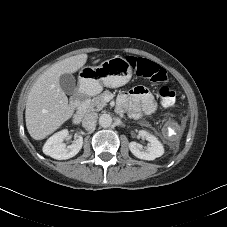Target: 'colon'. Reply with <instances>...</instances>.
Instances as JSON below:
<instances>
[{"mask_svg":"<svg viewBox=\"0 0 227 227\" xmlns=\"http://www.w3.org/2000/svg\"><path fill=\"white\" fill-rule=\"evenodd\" d=\"M135 72L138 76L144 77L153 83H162L158 89V96L165 106H173L176 101V93L173 88L166 84V70L159 65L143 59H132Z\"/></svg>","mask_w":227,"mask_h":227,"instance_id":"obj_1","label":"colon"}]
</instances>
